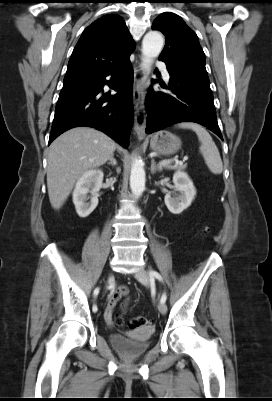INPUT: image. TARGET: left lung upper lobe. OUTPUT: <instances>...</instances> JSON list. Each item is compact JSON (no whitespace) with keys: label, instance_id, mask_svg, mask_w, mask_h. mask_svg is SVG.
Instances as JSON below:
<instances>
[{"label":"left lung upper lobe","instance_id":"left-lung-upper-lobe-1","mask_svg":"<svg viewBox=\"0 0 272 401\" xmlns=\"http://www.w3.org/2000/svg\"><path fill=\"white\" fill-rule=\"evenodd\" d=\"M153 30L165 35V47L159 60L166 64L204 78H208L205 68V54L198 37L178 15L165 12L152 24Z\"/></svg>","mask_w":272,"mask_h":401}]
</instances>
